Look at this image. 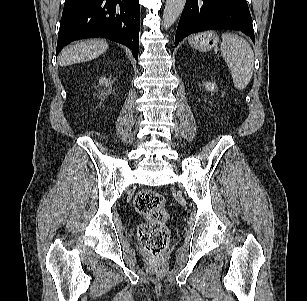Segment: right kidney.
I'll return each instance as SVG.
<instances>
[{"mask_svg": "<svg viewBox=\"0 0 307 301\" xmlns=\"http://www.w3.org/2000/svg\"><path fill=\"white\" fill-rule=\"evenodd\" d=\"M99 83H100V84H103V83H104L106 86L109 85V81H108V79H106L105 77H104V78H101V79L99 80Z\"/></svg>", "mask_w": 307, "mask_h": 301, "instance_id": "1", "label": "right kidney"}]
</instances>
